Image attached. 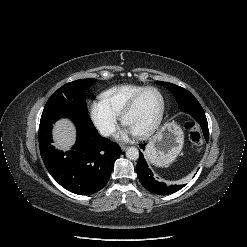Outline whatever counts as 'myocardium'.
Masks as SVG:
<instances>
[{
  "label": "myocardium",
  "instance_id": "obj_1",
  "mask_svg": "<svg viewBox=\"0 0 247 247\" xmlns=\"http://www.w3.org/2000/svg\"><path fill=\"white\" fill-rule=\"evenodd\" d=\"M148 91H154L160 96V98H161V110H160L159 116L157 117V119L155 120V122L151 126H149L146 130H144L142 132L134 133L139 138L149 137L161 125L163 118H164V115H165V110H166V100H165L164 94L156 87H145L142 90H140L139 92H137L131 98V100L127 103V105L125 106V108L123 109V111L120 115L121 116V122L123 124H125L126 117L133 111V109L135 108V106L138 103L141 96Z\"/></svg>",
  "mask_w": 247,
  "mask_h": 247
}]
</instances>
